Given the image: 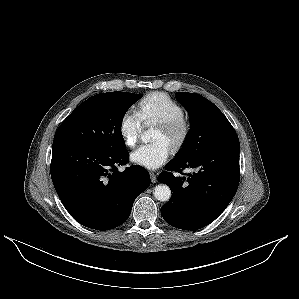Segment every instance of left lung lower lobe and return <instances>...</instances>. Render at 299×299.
Returning a JSON list of instances; mask_svg holds the SVG:
<instances>
[{"label":"left lung lower lobe","mask_w":299,"mask_h":299,"mask_svg":"<svg viewBox=\"0 0 299 299\" xmlns=\"http://www.w3.org/2000/svg\"><path fill=\"white\" fill-rule=\"evenodd\" d=\"M238 136L211 146L200 155L175 159L166 172L158 176L173 192L161 207L164 220L183 230H198L213 222L228 206L239 185ZM194 168L188 177H175L172 172Z\"/></svg>","instance_id":"1"}]
</instances>
